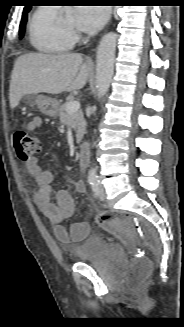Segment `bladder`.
Here are the masks:
<instances>
[{"instance_id":"31cf9c89","label":"bladder","mask_w":184,"mask_h":327,"mask_svg":"<svg viewBox=\"0 0 184 327\" xmlns=\"http://www.w3.org/2000/svg\"><path fill=\"white\" fill-rule=\"evenodd\" d=\"M77 262L93 264L105 256H110L118 262L120 268H127L128 261L124 255L108 241L102 234H91L78 244L69 246Z\"/></svg>"}]
</instances>
